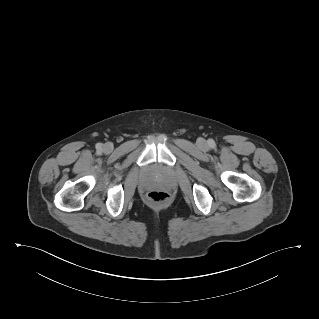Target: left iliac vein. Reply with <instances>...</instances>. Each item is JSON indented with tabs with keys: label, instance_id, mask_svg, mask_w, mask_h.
I'll return each instance as SVG.
<instances>
[{
	"label": "left iliac vein",
	"instance_id": "obj_1",
	"mask_svg": "<svg viewBox=\"0 0 319 319\" xmlns=\"http://www.w3.org/2000/svg\"><path fill=\"white\" fill-rule=\"evenodd\" d=\"M200 144H201V145H203V144H204V141H203V140H201V141H200Z\"/></svg>",
	"mask_w": 319,
	"mask_h": 319
}]
</instances>
